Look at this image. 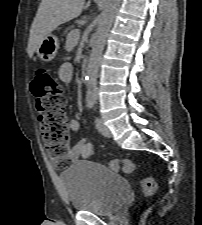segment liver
<instances>
[{"mask_svg": "<svg viewBox=\"0 0 202 225\" xmlns=\"http://www.w3.org/2000/svg\"><path fill=\"white\" fill-rule=\"evenodd\" d=\"M85 0H42L30 30L28 55L32 57L42 39L61 24L78 17L90 6Z\"/></svg>", "mask_w": 202, "mask_h": 225, "instance_id": "obj_1", "label": "liver"}]
</instances>
